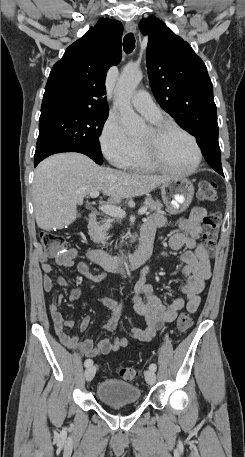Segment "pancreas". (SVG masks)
Instances as JSON below:
<instances>
[{"label": "pancreas", "instance_id": "obj_1", "mask_svg": "<svg viewBox=\"0 0 245 457\" xmlns=\"http://www.w3.org/2000/svg\"><path fill=\"white\" fill-rule=\"evenodd\" d=\"M144 204L146 208H148L149 212H152V210H161L163 206L160 200H153L150 196L145 198ZM113 220H116V218H108V220H105L103 224H100V222H92V224H88V235L91 237V241L105 247L106 239H109V237H107V231H109L110 226H112L111 222H113Z\"/></svg>", "mask_w": 245, "mask_h": 457}]
</instances>
